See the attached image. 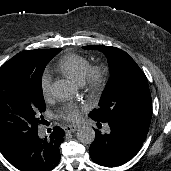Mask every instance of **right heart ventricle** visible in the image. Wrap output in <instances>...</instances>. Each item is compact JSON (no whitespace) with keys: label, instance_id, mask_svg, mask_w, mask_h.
Returning <instances> with one entry per match:
<instances>
[{"label":"right heart ventricle","instance_id":"e07e8e85","mask_svg":"<svg viewBox=\"0 0 171 171\" xmlns=\"http://www.w3.org/2000/svg\"><path fill=\"white\" fill-rule=\"evenodd\" d=\"M90 67L91 65L85 57L75 53L63 56L58 62V69L62 73L80 83Z\"/></svg>","mask_w":171,"mask_h":171}]
</instances>
